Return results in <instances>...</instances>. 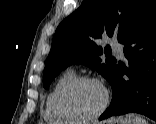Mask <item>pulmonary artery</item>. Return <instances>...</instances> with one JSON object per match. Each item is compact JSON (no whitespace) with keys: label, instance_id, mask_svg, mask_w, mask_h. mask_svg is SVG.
<instances>
[{"label":"pulmonary artery","instance_id":"obj_1","mask_svg":"<svg viewBox=\"0 0 156 124\" xmlns=\"http://www.w3.org/2000/svg\"><path fill=\"white\" fill-rule=\"evenodd\" d=\"M113 51L120 57L124 58L123 45L120 44L117 40L112 39L110 41Z\"/></svg>","mask_w":156,"mask_h":124}]
</instances>
